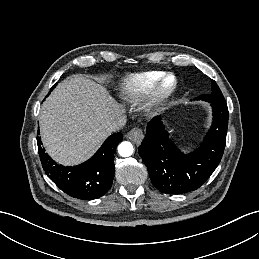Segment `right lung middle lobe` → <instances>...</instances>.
Listing matches in <instances>:
<instances>
[{
  "instance_id": "obj_1",
  "label": "right lung middle lobe",
  "mask_w": 259,
  "mask_h": 259,
  "mask_svg": "<svg viewBox=\"0 0 259 259\" xmlns=\"http://www.w3.org/2000/svg\"><path fill=\"white\" fill-rule=\"evenodd\" d=\"M56 86V84L54 86H52L51 90Z\"/></svg>"
}]
</instances>
